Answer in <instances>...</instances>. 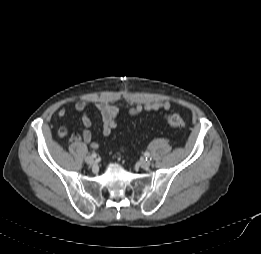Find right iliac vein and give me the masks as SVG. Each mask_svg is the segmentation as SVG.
Masks as SVG:
<instances>
[{"instance_id": "1", "label": "right iliac vein", "mask_w": 261, "mask_h": 254, "mask_svg": "<svg viewBox=\"0 0 261 254\" xmlns=\"http://www.w3.org/2000/svg\"><path fill=\"white\" fill-rule=\"evenodd\" d=\"M85 162H86L87 164H89V165H92V164H94V158L91 157V156H87V157L85 158Z\"/></svg>"}]
</instances>
